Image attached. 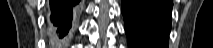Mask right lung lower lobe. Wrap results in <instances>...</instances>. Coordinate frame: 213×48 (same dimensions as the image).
<instances>
[{"label": "right lung lower lobe", "instance_id": "1", "mask_svg": "<svg viewBox=\"0 0 213 48\" xmlns=\"http://www.w3.org/2000/svg\"><path fill=\"white\" fill-rule=\"evenodd\" d=\"M78 3L79 0H50L51 20L58 27L59 38L68 33Z\"/></svg>", "mask_w": 213, "mask_h": 48}]
</instances>
